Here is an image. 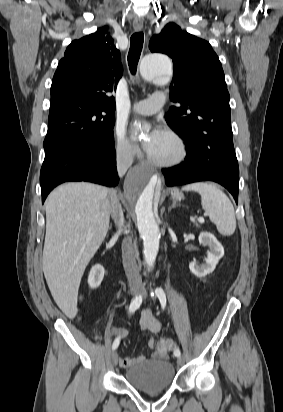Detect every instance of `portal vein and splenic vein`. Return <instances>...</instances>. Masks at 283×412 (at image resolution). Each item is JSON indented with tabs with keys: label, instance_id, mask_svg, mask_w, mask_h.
Instances as JSON below:
<instances>
[{
	"label": "portal vein and splenic vein",
	"instance_id": "portal-vein-and-splenic-vein-1",
	"mask_svg": "<svg viewBox=\"0 0 283 412\" xmlns=\"http://www.w3.org/2000/svg\"><path fill=\"white\" fill-rule=\"evenodd\" d=\"M204 221H205V220H204V218H203V217L198 218V222H199V223H201V224H202V223H204Z\"/></svg>",
	"mask_w": 283,
	"mask_h": 412
}]
</instances>
